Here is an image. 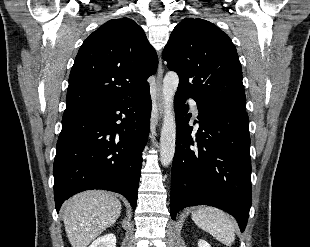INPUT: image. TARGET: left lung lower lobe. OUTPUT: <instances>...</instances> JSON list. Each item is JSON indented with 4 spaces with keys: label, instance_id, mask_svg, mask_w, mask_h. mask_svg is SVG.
<instances>
[{
    "label": "left lung lower lobe",
    "instance_id": "0a47b994",
    "mask_svg": "<svg viewBox=\"0 0 310 247\" xmlns=\"http://www.w3.org/2000/svg\"><path fill=\"white\" fill-rule=\"evenodd\" d=\"M185 92H176V151L172 164L170 214L210 205L233 215L244 231L251 207L249 120L245 110L196 101L199 129L191 136ZM192 98V97H191Z\"/></svg>",
    "mask_w": 310,
    "mask_h": 247
}]
</instances>
